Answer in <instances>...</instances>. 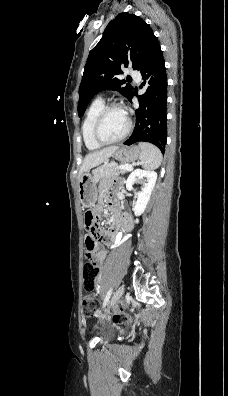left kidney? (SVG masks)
Masks as SVG:
<instances>
[{"label":"left kidney","mask_w":228,"mask_h":396,"mask_svg":"<svg viewBox=\"0 0 228 396\" xmlns=\"http://www.w3.org/2000/svg\"><path fill=\"white\" fill-rule=\"evenodd\" d=\"M156 180V172L141 169L134 170L127 178L126 188L128 190H132V186L136 182L143 183L141 190L135 193V198L137 199L133 208L135 216H140L146 209Z\"/></svg>","instance_id":"5707ae66"}]
</instances>
